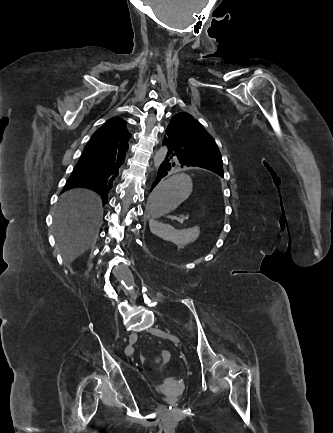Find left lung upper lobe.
Returning <instances> with one entry per match:
<instances>
[{"mask_svg": "<svg viewBox=\"0 0 333 433\" xmlns=\"http://www.w3.org/2000/svg\"><path fill=\"white\" fill-rule=\"evenodd\" d=\"M166 134L171 150L180 158L224 177L222 157L216 142L190 114L181 112L174 115Z\"/></svg>", "mask_w": 333, "mask_h": 433, "instance_id": "1", "label": "left lung upper lobe"}]
</instances>
